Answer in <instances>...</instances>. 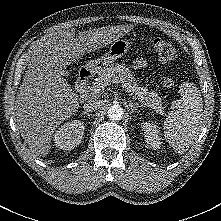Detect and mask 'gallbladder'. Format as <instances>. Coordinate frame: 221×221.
<instances>
[{
    "mask_svg": "<svg viewBox=\"0 0 221 221\" xmlns=\"http://www.w3.org/2000/svg\"><path fill=\"white\" fill-rule=\"evenodd\" d=\"M62 72H63L64 76H68L69 75V73H68V71H67V69L65 67L63 68Z\"/></svg>",
    "mask_w": 221,
    "mask_h": 221,
    "instance_id": "1",
    "label": "gallbladder"
}]
</instances>
